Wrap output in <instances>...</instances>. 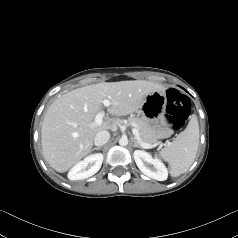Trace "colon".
<instances>
[{
	"instance_id": "5ec220e1",
	"label": "colon",
	"mask_w": 238,
	"mask_h": 238,
	"mask_svg": "<svg viewBox=\"0 0 238 238\" xmlns=\"http://www.w3.org/2000/svg\"><path fill=\"white\" fill-rule=\"evenodd\" d=\"M167 106L166 119L174 128L180 129L186 122L190 113V101L176 89H168L166 92Z\"/></svg>"
}]
</instances>
